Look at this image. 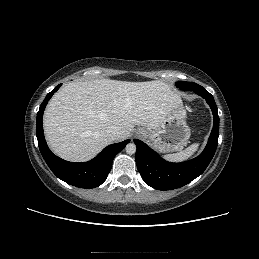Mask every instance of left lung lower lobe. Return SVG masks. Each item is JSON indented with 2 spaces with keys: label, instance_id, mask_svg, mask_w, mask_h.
<instances>
[{
  "label": "left lung lower lobe",
  "instance_id": "left-lung-lower-lobe-1",
  "mask_svg": "<svg viewBox=\"0 0 259 259\" xmlns=\"http://www.w3.org/2000/svg\"><path fill=\"white\" fill-rule=\"evenodd\" d=\"M210 106L214 124L204 151L195 159L182 163L163 160L144 142L134 139L137 146L135 155L139 173L144 182L157 190H172L182 187L201 175L212 160L218 145L219 116L213 96L203 87L194 91Z\"/></svg>",
  "mask_w": 259,
  "mask_h": 259
}]
</instances>
